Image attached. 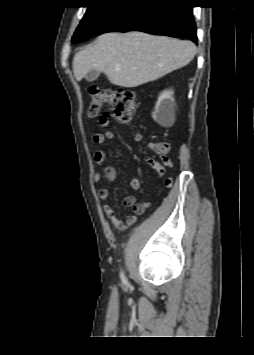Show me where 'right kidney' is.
<instances>
[{
	"label": "right kidney",
	"mask_w": 254,
	"mask_h": 355,
	"mask_svg": "<svg viewBox=\"0 0 254 355\" xmlns=\"http://www.w3.org/2000/svg\"><path fill=\"white\" fill-rule=\"evenodd\" d=\"M173 91H163L157 102L156 110L153 113V118L160 124L168 123L174 116L175 102L172 98Z\"/></svg>",
	"instance_id": "1"
}]
</instances>
